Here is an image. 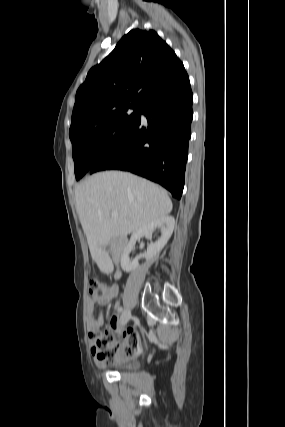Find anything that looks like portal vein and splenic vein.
Masks as SVG:
<instances>
[{
  "instance_id": "portal-vein-and-splenic-vein-1",
  "label": "portal vein and splenic vein",
  "mask_w": 285,
  "mask_h": 427,
  "mask_svg": "<svg viewBox=\"0 0 285 427\" xmlns=\"http://www.w3.org/2000/svg\"><path fill=\"white\" fill-rule=\"evenodd\" d=\"M111 216L112 217H117L118 216V212L117 211H112Z\"/></svg>"
}]
</instances>
